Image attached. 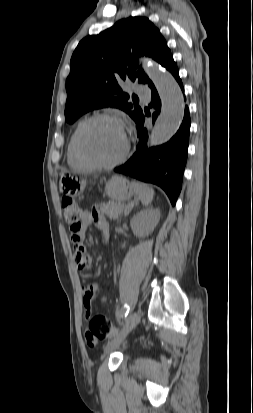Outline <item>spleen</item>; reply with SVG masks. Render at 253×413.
<instances>
[{"label": "spleen", "mask_w": 253, "mask_h": 413, "mask_svg": "<svg viewBox=\"0 0 253 413\" xmlns=\"http://www.w3.org/2000/svg\"><path fill=\"white\" fill-rule=\"evenodd\" d=\"M132 186L136 195L144 205H149L152 202L154 197V190L152 188L139 182H132Z\"/></svg>", "instance_id": "1"}]
</instances>
